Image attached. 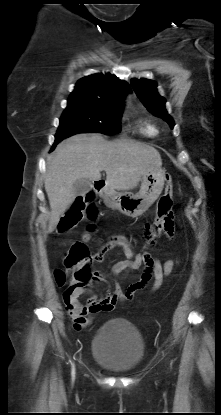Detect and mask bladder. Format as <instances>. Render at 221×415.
<instances>
[{"mask_svg": "<svg viewBox=\"0 0 221 415\" xmlns=\"http://www.w3.org/2000/svg\"><path fill=\"white\" fill-rule=\"evenodd\" d=\"M144 341L139 330L128 320L113 318L106 321L92 340L95 362L114 373L133 370L144 355Z\"/></svg>", "mask_w": 221, "mask_h": 415, "instance_id": "1", "label": "bladder"}]
</instances>
